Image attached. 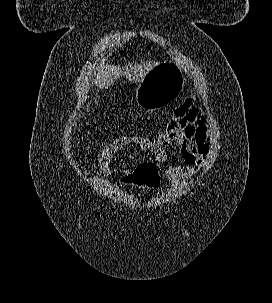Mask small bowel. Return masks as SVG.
I'll list each match as a JSON object with an SVG mask.
<instances>
[{"label": "small bowel", "mask_w": 272, "mask_h": 303, "mask_svg": "<svg viewBox=\"0 0 272 303\" xmlns=\"http://www.w3.org/2000/svg\"><path fill=\"white\" fill-rule=\"evenodd\" d=\"M212 132L206 114L195 106L189 98L179 105L168 122L165 133L153 139L144 136L125 135L114 139L106 153L101 167V174L110 176L114 173L112 162L116 155L127 146H135L141 152H150L156 161L167 163L165 178L177 185L181 180L191 178L200 171L210 156ZM167 145L178 149L176 162L169 163ZM134 169L125 168L120 171L125 184H134Z\"/></svg>", "instance_id": "obj_1"}]
</instances>
